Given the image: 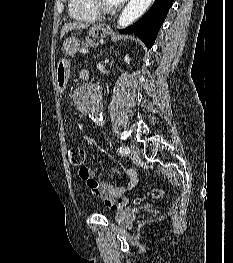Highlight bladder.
Listing matches in <instances>:
<instances>
[{
  "instance_id": "obj_1",
  "label": "bladder",
  "mask_w": 233,
  "mask_h": 263,
  "mask_svg": "<svg viewBox=\"0 0 233 263\" xmlns=\"http://www.w3.org/2000/svg\"><path fill=\"white\" fill-rule=\"evenodd\" d=\"M135 219L136 213L130 209H121L114 215V221L123 227L131 226L134 223Z\"/></svg>"
}]
</instances>
